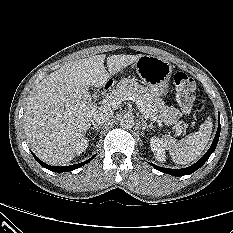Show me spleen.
Returning <instances> with one entry per match:
<instances>
[{"label": "spleen", "mask_w": 233, "mask_h": 233, "mask_svg": "<svg viewBox=\"0 0 233 233\" xmlns=\"http://www.w3.org/2000/svg\"><path fill=\"white\" fill-rule=\"evenodd\" d=\"M212 121L210 117L200 125L199 131L188 134L176 142L170 136H163L161 143L165 147L172 160L177 164H188L197 160L207 146L212 133Z\"/></svg>", "instance_id": "obj_1"}]
</instances>
